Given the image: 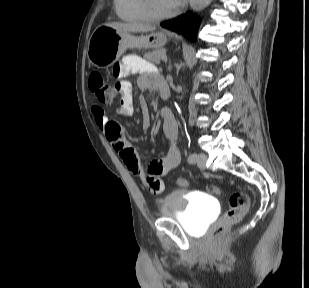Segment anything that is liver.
Returning <instances> with one entry per match:
<instances>
[{
  "mask_svg": "<svg viewBox=\"0 0 309 288\" xmlns=\"http://www.w3.org/2000/svg\"><path fill=\"white\" fill-rule=\"evenodd\" d=\"M105 25L110 26L114 29L122 30V31H126V32H142V33H144V32H149V31L154 30L153 27L143 25V24H127V23L112 22V23H107Z\"/></svg>",
  "mask_w": 309,
  "mask_h": 288,
  "instance_id": "1",
  "label": "liver"
}]
</instances>
